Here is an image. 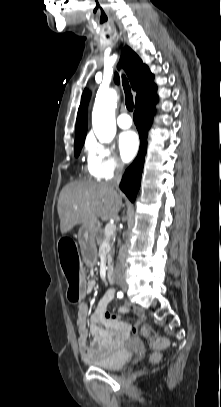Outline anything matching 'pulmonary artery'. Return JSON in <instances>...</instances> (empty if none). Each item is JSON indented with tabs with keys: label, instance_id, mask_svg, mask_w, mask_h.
Wrapping results in <instances>:
<instances>
[{
	"label": "pulmonary artery",
	"instance_id": "obj_1",
	"mask_svg": "<svg viewBox=\"0 0 221 407\" xmlns=\"http://www.w3.org/2000/svg\"><path fill=\"white\" fill-rule=\"evenodd\" d=\"M117 124L120 128L126 129L131 127L133 122L131 117L126 112H124L118 116Z\"/></svg>",
	"mask_w": 221,
	"mask_h": 407
}]
</instances>
